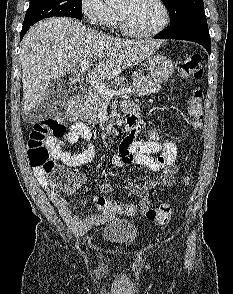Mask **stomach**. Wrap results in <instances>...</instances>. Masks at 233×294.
Wrapping results in <instances>:
<instances>
[{"label":"stomach","mask_w":233,"mask_h":294,"mask_svg":"<svg viewBox=\"0 0 233 294\" xmlns=\"http://www.w3.org/2000/svg\"><path fill=\"white\" fill-rule=\"evenodd\" d=\"M149 78L157 84L167 81L174 73V64L163 55H153L147 59Z\"/></svg>","instance_id":"stomach-1"}]
</instances>
